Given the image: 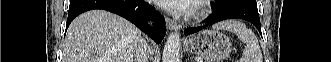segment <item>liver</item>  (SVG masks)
<instances>
[{"instance_id":"liver-1","label":"liver","mask_w":331,"mask_h":62,"mask_svg":"<svg viewBox=\"0 0 331 62\" xmlns=\"http://www.w3.org/2000/svg\"><path fill=\"white\" fill-rule=\"evenodd\" d=\"M140 31L124 18L93 10L75 18L63 46V62H133Z\"/></svg>"}]
</instances>
